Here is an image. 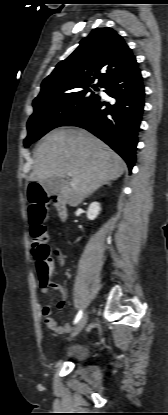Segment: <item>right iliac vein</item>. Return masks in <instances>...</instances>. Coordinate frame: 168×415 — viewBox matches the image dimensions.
I'll list each match as a JSON object with an SVG mask.
<instances>
[{"mask_svg":"<svg viewBox=\"0 0 168 415\" xmlns=\"http://www.w3.org/2000/svg\"><path fill=\"white\" fill-rule=\"evenodd\" d=\"M87 319H88L87 314H84L82 318L78 321L75 328L73 329L70 339H73L74 337H76L83 330V328L85 327L87 323Z\"/></svg>","mask_w":168,"mask_h":415,"instance_id":"right-iliac-vein-1","label":"right iliac vein"}]
</instances>
